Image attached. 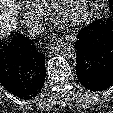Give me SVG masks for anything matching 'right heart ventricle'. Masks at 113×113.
<instances>
[{
	"instance_id": "obj_1",
	"label": "right heart ventricle",
	"mask_w": 113,
	"mask_h": 113,
	"mask_svg": "<svg viewBox=\"0 0 113 113\" xmlns=\"http://www.w3.org/2000/svg\"><path fill=\"white\" fill-rule=\"evenodd\" d=\"M27 6L40 14H49L54 7L56 0H25Z\"/></svg>"
}]
</instances>
